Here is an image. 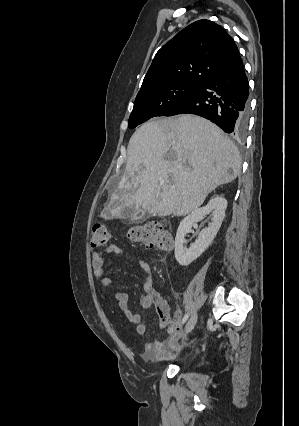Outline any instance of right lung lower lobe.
I'll return each mask as SVG.
<instances>
[{"label": "right lung lower lobe", "mask_w": 299, "mask_h": 426, "mask_svg": "<svg viewBox=\"0 0 299 426\" xmlns=\"http://www.w3.org/2000/svg\"><path fill=\"white\" fill-rule=\"evenodd\" d=\"M248 87L243 62L238 57L164 116L195 114L212 121L226 133L242 135L249 116Z\"/></svg>", "instance_id": "98d812e1"}]
</instances>
